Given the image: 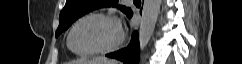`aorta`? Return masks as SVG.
<instances>
[{
  "label": "aorta",
  "instance_id": "obj_1",
  "mask_svg": "<svg viewBox=\"0 0 242 64\" xmlns=\"http://www.w3.org/2000/svg\"><path fill=\"white\" fill-rule=\"evenodd\" d=\"M160 6L161 0H144L139 29V46L141 52L147 47L153 35Z\"/></svg>",
  "mask_w": 242,
  "mask_h": 64
}]
</instances>
